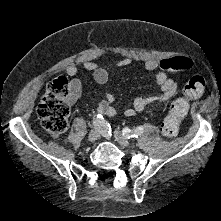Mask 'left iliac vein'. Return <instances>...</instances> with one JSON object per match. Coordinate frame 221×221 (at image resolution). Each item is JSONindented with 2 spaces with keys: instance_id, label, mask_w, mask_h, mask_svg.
<instances>
[{
  "instance_id": "left-iliac-vein-1",
  "label": "left iliac vein",
  "mask_w": 221,
  "mask_h": 221,
  "mask_svg": "<svg viewBox=\"0 0 221 221\" xmlns=\"http://www.w3.org/2000/svg\"><path fill=\"white\" fill-rule=\"evenodd\" d=\"M114 137L115 139L124 147H128L130 146V141L127 140L122 134L120 131L118 130H115L114 131Z\"/></svg>"
}]
</instances>
